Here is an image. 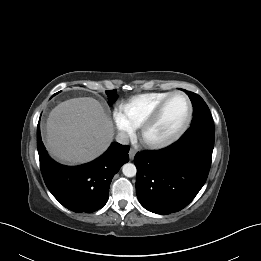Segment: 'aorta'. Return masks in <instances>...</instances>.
Wrapping results in <instances>:
<instances>
[{"instance_id": "1", "label": "aorta", "mask_w": 261, "mask_h": 261, "mask_svg": "<svg viewBox=\"0 0 261 261\" xmlns=\"http://www.w3.org/2000/svg\"><path fill=\"white\" fill-rule=\"evenodd\" d=\"M122 172L126 177H134L137 173V169L134 164L126 163L122 167Z\"/></svg>"}]
</instances>
